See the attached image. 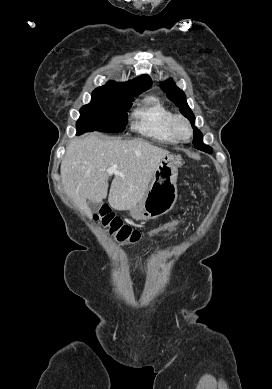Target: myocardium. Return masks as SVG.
<instances>
[{"instance_id":"myocardium-1","label":"myocardium","mask_w":272,"mask_h":389,"mask_svg":"<svg viewBox=\"0 0 272 389\" xmlns=\"http://www.w3.org/2000/svg\"><path fill=\"white\" fill-rule=\"evenodd\" d=\"M181 124L184 125L186 128L187 133L185 135L182 134L179 130V126ZM170 127H171V131H172L174 137L179 141L186 142L193 135V129H192V126H191L189 120L181 114H176V115L172 116L171 121H170Z\"/></svg>"}]
</instances>
